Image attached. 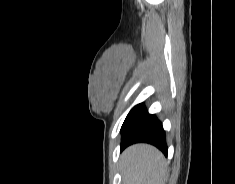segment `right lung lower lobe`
<instances>
[{
    "label": "right lung lower lobe",
    "mask_w": 235,
    "mask_h": 184,
    "mask_svg": "<svg viewBox=\"0 0 235 184\" xmlns=\"http://www.w3.org/2000/svg\"><path fill=\"white\" fill-rule=\"evenodd\" d=\"M121 149L145 142L156 146L167 155L165 131L155 115L148 114L143 104L135 106L126 117L122 128Z\"/></svg>",
    "instance_id": "obj_1"
}]
</instances>
